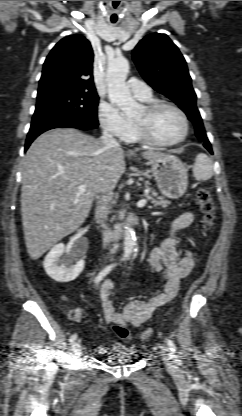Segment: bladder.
I'll return each mask as SVG.
<instances>
[{"instance_id": "31cf9c89", "label": "bladder", "mask_w": 242, "mask_h": 416, "mask_svg": "<svg viewBox=\"0 0 242 416\" xmlns=\"http://www.w3.org/2000/svg\"><path fill=\"white\" fill-rule=\"evenodd\" d=\"M129 356L130 354L127 352V348L121 345L115 352L110 354L109 360L112 364H124L130 361Z\"/></svg>"}]
</instances>
